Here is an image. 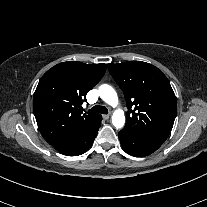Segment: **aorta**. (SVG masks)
I'll list each match as a JSON object with an SVG mask.
<instances>
[{
    "mask_svg": "<svg viewBox=\"0 0 207 207\" xmlns=\"http://www.w3.org/2000/svg\"><path fill=\"white\" fill-rule=\"evenodd\" d=\"M100 98L107 104L115 107L118 104V96L114 88L110 85L103 84L99 87ZM112 124L116 128H122L125 124L124 112L121 109L114 111L112 115Z\"/></svg>",
    "mask_w": 207,
    "mask_h": 207,
    "instance_id": "aorta-1",
    "label": "aorta"
}]
</instances>
